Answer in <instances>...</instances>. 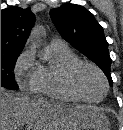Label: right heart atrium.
Returning a JSON list of instances; mask_svg holds the SVG:
<instances>
[{"label":"right heart atrium","mask_w":123,"mask_h":130,"mask_svg":"<svg viewBox=\"0 0 123 130\" xmlns=\"http://www.w3.org/2000/svg\"><path fill=\"white\" fill-rule=\"evenodd\" d=\"M40 65L32 49H26L17 59L15 77L21 89L32 92L38 81Z\"/></svg>","instance_id":"d8ad5b80"}]
</instances>
